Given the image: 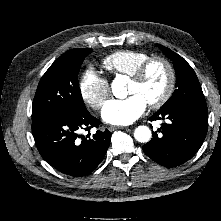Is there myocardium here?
Listing matches in <instances>:
<instances>
[{
	"mask_svg": "<svg viewBox=\"0 0 221 221\" xmlns=\"http://www.w3.org/2000/svg\"><path fill=\"white\" fill-rule=\"evenodd\" d=\"M155 62L161 63L166 68L168 81L163 94L157 100L148 103L149 107L153 109L162 107L170 99L174 92L176 84V72L172 63L163 56H151L142 62L130 76L131 81L136 83L141 82L146 76L150 66Z\"/></svg>",
	"mask_w": 221,
	"mask_h": 221,
	"instance_id": "myocardium-1",
	"label": "myocardium"
}]
</instances>
